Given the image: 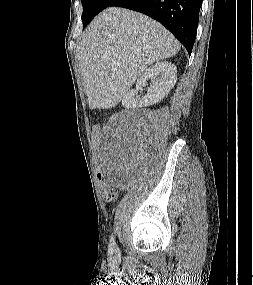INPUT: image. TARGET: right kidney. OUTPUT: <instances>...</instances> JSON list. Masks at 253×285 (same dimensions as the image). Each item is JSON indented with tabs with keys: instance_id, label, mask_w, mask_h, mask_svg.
Listing matches in <instances>:
<instances>
[{
	"instance_id": "right-kidney-1",
	"label": "right kidney",
	"mask_w": 253,
	"mask_h": 285,
	"mask_svg": "<svg viewBox=\"0 0 253 285\" xmlns=\"http://www.w3.org/2000/svg\"><path fill=\"white\" fill-rule=\"evenodd\" d=\"M176 73V66L168 61L158 62L146 68L137 79L136 89H131L125 94L122 100L123 106L127 108H141L160 102L174 87L177 80ZM150 79L153 80V84L148 93L139 100L135 99V94Z\"/></svg>"
}]
</instances>
